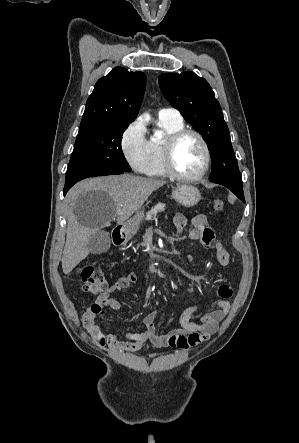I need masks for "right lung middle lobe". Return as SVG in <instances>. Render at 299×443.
<instances>
[{
    "label": "right lung middle lobe",
    "instance_id": "obj_1",
    "mask_svg": "<svg viewBox=\"0 0 299 443\" xmlns=\"http://www.w3.org/2000/svg\"><path fill=\"white\" fill-rule=\"evenodd\" d=\"M129 123H110L79 131L70 159L65 186L111 171H131L121 149Z\"/></svg>",
    "mask_w": 299,
    "mask_h": 443
}]
</instances>
